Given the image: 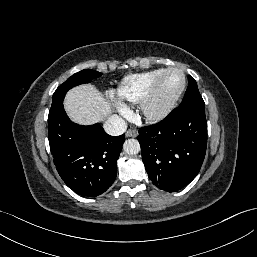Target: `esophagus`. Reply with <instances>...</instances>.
I'll list each match as a JSON object with an SVG mask.
<instances>
[{"label": "esophagus", "instance_id": "34e87169", "mask_svg": "<svg viewBox=\"0 0 257 257\" xmlns=\"http://www.w3.org/2000/svg\"><path fill=\"white\" fill-rule=\"evenodd\" d=\"M137 131L134 130V129H129L127 132H126V137H136L137 136Z\"/></svg>", "mask_w": 257, "mask_h": 257}]
</instances>
